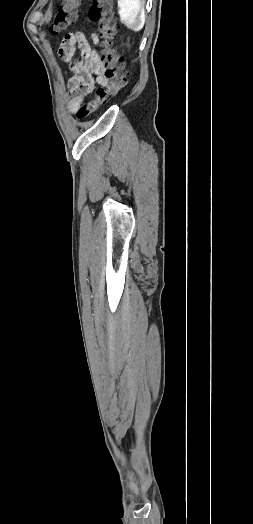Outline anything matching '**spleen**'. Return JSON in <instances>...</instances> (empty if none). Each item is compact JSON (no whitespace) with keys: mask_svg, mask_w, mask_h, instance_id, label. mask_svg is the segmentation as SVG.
Segmentation results:
<instances>
[{"mask_svg":"<svg viewBox=\"0 0 253 524\" xmlns=\"http://www.w3.org/2000/svg\"><path fill=\"white\" fill-rule=\"evenodd\" d=\"M120 20L132 31H140L145 24L141 0H118Z\"/></svg>","mask_w":253,"mask_h":524,"instance_id":"3e777b00","label":"spleen"}]
</instances>
